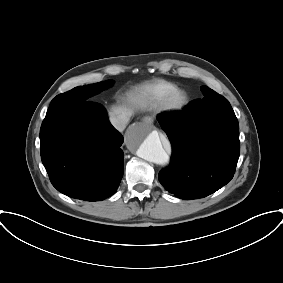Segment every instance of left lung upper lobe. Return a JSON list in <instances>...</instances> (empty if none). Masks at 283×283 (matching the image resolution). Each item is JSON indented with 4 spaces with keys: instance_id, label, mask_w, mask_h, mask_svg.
<instances>
[{
    "instance_id": "obj_1",
    "label": "left lung upper lobe",
    "mask_w": 283,
    "mask_h": 283,
    "mask_svg": "<svg viewBox=\"0 0 283 283\" xmlns=\"http://www.w3.org/2000/svg\"><path fill=\"white\" fill-rule=\"evenodd\" d=\"M201 91L203 92L204 96H210V94H212L214 92L212 89L208 88L207 86H202ZM227 127L229 129L239 131V124H238V120H237L235 115L232 118V120L230 121V123L227 125Z\"/></svg>"
}]
</instances>
